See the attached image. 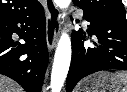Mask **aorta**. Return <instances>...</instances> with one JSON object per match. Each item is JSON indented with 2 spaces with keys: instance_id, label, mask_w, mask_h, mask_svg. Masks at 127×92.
Returning <instances> with one entry per match:
<instances>
[{
  "instance_id": "1",
  "label": "aorta",
  "mask_w": 127,
  "mask_h": 92,
  "mask_svg": "<svg viewBox=\"0 0 127 92\" xmlns=\"http://www.w3.org/2000/svg\"><path fill=\"white\" fill-rule=\"evenodd\" d=\"M71 0H55L56 5L66 9ZM71 40L67 33H63L58 42L51 73V91L60 92L68 74L71 62Z\"/></svg>"
}]
</instances>
